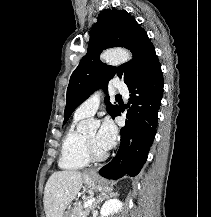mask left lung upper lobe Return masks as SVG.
<instances>
[{
    "label": "left lung upper lobe",
    "mask_w": 211,
    "mask_h": 217,
    "mask_svg": "<svg viewBox=\"0 0 211 217\" xmlns=\"http://www.w3.org/2000/svg\"><path fill=\"white\" fill-rule=\"evenodd\" d=\"M112 47H125L133 54V59L118 67L108 66L99 59L100 53ZM159 63L155 49L146 31L125 10H103L97 23L91 29L87 54L70 77L67 88L65 120L95 90L104 88L114 76L124 79L127 86L152 70ZM107 112L115 118L119 112L118 105L109 102L105 97Z\"/></svg>",
    "instance_id": "left-lung-upper-lobe-1"
}]
</instances>
